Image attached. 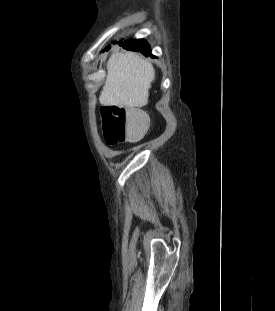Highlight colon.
Here are the masks:
<instances>
[{"label": "colon", "instance_id": "5ec220e1", "mask_svg": "<svg viewBox=\"0 0 275 311\" xmlns=\"http://www.w3.org/2000/svg\"><path fill=\"white\" fill-rule=\"evenodd\" d=\"M149 122V116L137 110L113 106L102 111L103 134L109 145L142 138L149 128Z\"/></svg>", "mask_w": 275, "mask_h": 311}]
</instances>
